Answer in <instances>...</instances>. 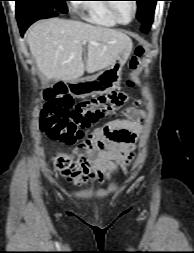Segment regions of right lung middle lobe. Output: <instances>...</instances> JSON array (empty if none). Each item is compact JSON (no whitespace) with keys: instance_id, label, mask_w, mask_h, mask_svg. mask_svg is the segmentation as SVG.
<instances>
[{"instance_id":"1","label":"right lung middle lobe","mask_w":194,"mask_h":253,"mask_svg":"<svg viewBox=\"0 0 194 253\" xmlns=\"http://www.w3.org/2000/svg\"><path fill=\"white\" fill-rule=\"evenodd\" d=\"M16 17L33 19L37 15L58 11L67 13L66 1L68 0H15Z\"/></svg>"}]
</instances>
